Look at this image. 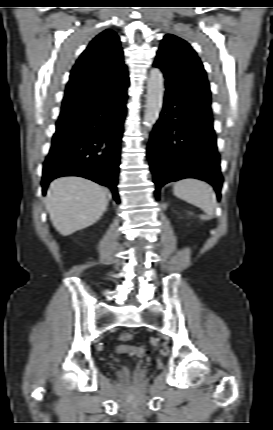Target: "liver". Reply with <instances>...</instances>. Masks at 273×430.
Segmentation results:
<instances>
[{"mask_svg": "<svg viewBox=\"0 0 273 430\" xmlns=\"http://www.w3.org/2000/svg\"><path fill=\"white\" fill-rule=\"evenodd\" d=\"M45 201L53 226L63 236L97 222L108 205L104 188L78 176L55 179Z\"/></svg>", "mask_w": 273, "mask_h": 430, "instance_id": "1", "label": "liver"}]
</instances>
